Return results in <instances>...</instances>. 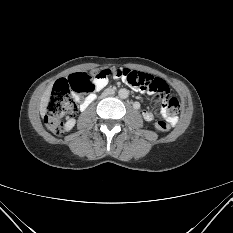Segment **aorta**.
<instances>
[{
    "mask_svg": "<svg viewBox=\"0 0 233 233\" xmlns=\"http://www.w3.org/2000/svg\"><path fill=\"white\" fill-rule=\"evenodd\" d=\"M118 95L122 99H126L129 96V91L127 89H120Z\"/></svg>",
    "mask_w": 233,
    "mask_h": 233,
    "instance_id": "obj_1",
    "label": "aorta"
}]
</instances>
